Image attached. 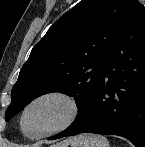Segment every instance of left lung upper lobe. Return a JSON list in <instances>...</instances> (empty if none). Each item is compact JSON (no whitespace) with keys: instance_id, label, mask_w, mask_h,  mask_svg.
<instances>
[{"instance_id":"obj_1","label":"left lung upper lobe","mask_w":145,"mask_h":147,"mask_svg":"<svg viewBox=\"0 0 145 147\" xmlns=\"http://www.w3.org/2000/svg\"><path fill=\"white\" fill-rule=\"evenodd\" d=\"M131 0H81L33 47L11 91L9 121L35 98L62 92L74 97L78 126L101 79Z\"/></svg>"}]
</instances>
